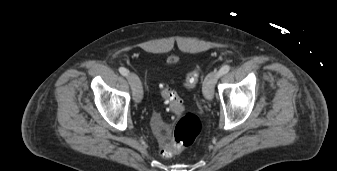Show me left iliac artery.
Returning <instances> with one entry per match:
<instances>
[{
  "label": "left iliac artery",
  "mask_w": 337,
  "mask_h": 171,
  "mask_svg": "<svg viewBox=\"0 0 337 171\" xmlns=\"http://www.w3.org/2000/svg\"><path fill=\"white\" fill-rule=\"evenodd\" d=\"M230 70V66L229 65H224L223 67H221V69L218 72V77L228 73Z\"/></svg>",
  "instance_id": "1"
}]
</instances>
